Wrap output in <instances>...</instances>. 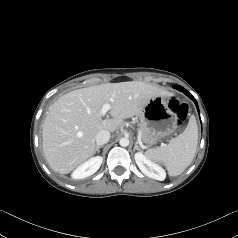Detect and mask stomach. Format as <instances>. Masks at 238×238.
<instances>
[{
    "label": "stomach",
    "mask_w": 238,
    "mask_h": 238,
    "mask_svg": "<svg viewBox=\"0 0 238 238\" xmlns=\"http://www.w3.org/2000/svg\"><path fill=\"white\" fill-rule=\"evenodd\" d=\"M144 142L154 145L177 129L178 119L175 112L169 108V103L163 96L149 99L139 113Z\"/></svg>",
    "instance_id": "1"
}]
</instances>
